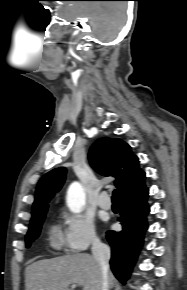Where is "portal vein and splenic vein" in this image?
<instances>
[{"label":"portal vein and splenic vein","mask_w":187,"mask_h":290,"mask_svg":"<svg viewBox=\"0 0 187 290\" xmlns=\"http://www.w3.org/2000/svg\"><path fill=\"white\" fill-rule=\"evenodd\" d=\"M71 287H72V288H76V285H75V284H73Z\"/></svg>","instance_id":"18ae733b"}]
</instances>
